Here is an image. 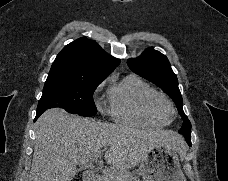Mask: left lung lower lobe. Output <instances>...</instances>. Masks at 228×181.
Instances as JSON below:
<instances>
[{
  "label": "left lung lower lobe",
  "mask_w": 228,
  "mask_h": 181,
  "mask_svg": "<svg viewBox=\"0 0 228 181\" xmlns=\"http://www.w3.org/2000/svg\"><path fill=\"white\" fill-rule=\"evenodd\" d=\"M189 146H191V134L184 135Z\"/></svg>",
  "instance_id": "obj_1"
}]
</instances>
